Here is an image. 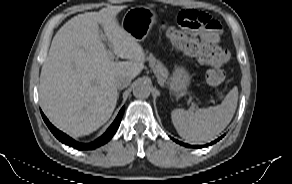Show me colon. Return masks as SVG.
<instances>
[{"mask_svg":"<svg viewBox=\"0 0 292 184\" xmlns=\"http://www.w3.org/2000/svg\"><path fill=\"white\" fill-rule=\"evenodd\" d=\"M177 20L184 29L192 33H196L202 28L212 30L221 28L217 20L199 10H181L177 15ZM168 35L176 48L213 67L206 74V80L209 85L218 86L224 82L225 72L220 68L229 59L227 50L211 42L187 36L175 29H169Z\"/></svg>","mask_w":292,"mask_h":184,"instance_id":"colon-1","label":"colon"}]
</instances>
